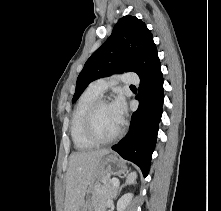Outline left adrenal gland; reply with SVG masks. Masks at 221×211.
<instances>
[{
    "label": "left adrenal gland",
    "instance_id": "obj_1",
    "mask_svg": "<svg viewBox=\"0 0 221 211\" xmlns=\"http://www.w3.org/2000/svg\"><path fill=\"white\" fill-rule=\"evenodd\" d=\"M122 188H123V185L118 188L117 194H119L121 192Z\"/></svg>",
    "mask_w": 221,
    "mask_h": 211
}]
</instances>
